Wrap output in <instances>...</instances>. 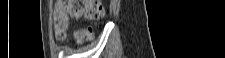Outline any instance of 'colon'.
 <instances>
[{"instance_id":"obj_1","label":"colon","mask_w":225,"mask_h":58,"mask_svg":"<svg viewBox=\"0 0 225 58\" xmlns=\"http://www.w3.org/2000/svg\"><path fill=\"white\" fill-rule=\"evenodd\" d=\"M105 15V8L101 0H61L58 1L53 13L55 36L62 41L66 37L69 18L84 17L89 21H96ZM87 30L77 32L79 38L85 37Z\"/></svg>"}]
</instances>
